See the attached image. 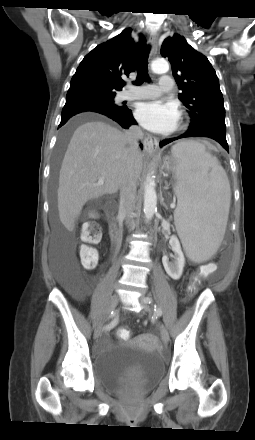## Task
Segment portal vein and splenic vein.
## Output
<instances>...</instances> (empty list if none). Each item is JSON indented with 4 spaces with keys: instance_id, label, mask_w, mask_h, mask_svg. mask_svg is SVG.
<instances>
[{
    "instance_id": "18ae733b",
    "label": "portal vein and splenic vein",
    "mask_w": 255,
    "mask_h": 440,
    "mask_svg": "<svg viewBox=\"0 0 255 440\" xmlns=\"http://www.w3.org/2000/svg\"><path fill=\"white\" fill-rule=\"evenodd\" d=\"M103 182H104V179H103V177H101V178L99 179L98 183H99V184H103Z\"/></svg>"
}]
</instances>
